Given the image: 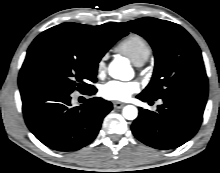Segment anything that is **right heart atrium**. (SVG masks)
Returning a JSON list of instances; mask_svg holds the SVG:
<instances>
[{
  "mask_svg": "<svg viewBox=\"0 0 220 173\" xmlns=\"http://www.w3.org/2000/svg\"><path fill=\"white\" fill-rule=\"evenodd\" d=\"M105 70V62L103 59H101L97 64V72L102 73Z\"/></svg>",
  "mask_w": 220,
  "mask_h": 173,
  "instance_id": "d8ad5b80",
  "label": "right heart atrium"
}]
</instances>
